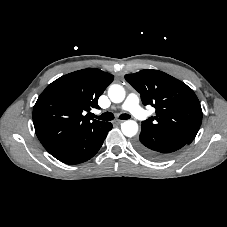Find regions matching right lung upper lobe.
Segmentation results:
<instances>
[{"instance_id": "right-lung-upper-lobe-1", "label": "right lung upper lobe", "mask_w": 227, "mask_h": 227, "mask_svg": "<svg viewBox=\"0 0 227 227\" xmlns=\"http://www.w3.org/2000/svg\"><path fill=\"white\" fill-rule=\"evenodd\" d=\"M113 78L96 68L83 69L58 78L41 93L33 108V123L49 153L106 123L92 120L89 111L99 108L98 98Z\"/></svg>"}]
</instances>
